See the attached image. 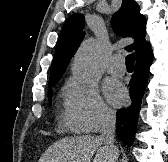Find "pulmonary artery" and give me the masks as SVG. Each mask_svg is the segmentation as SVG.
Wrapping results in <instances>:
<instances>
[{"mask_svg":"<svg viewBox=\"0 0 168 162\" xmlns=\"http://www.w3.org/2000/svg\"><path fill=\"white\" fill-rule=\"evenodd\" d=\"M108 73L114 76H122L125 73L124 61L121 59L120 55L115 54L110 57L106 65Z\"/></svg>","mask_w":168,"mask_h":162,"instance_id":"e3ab8cb5","label":"pulmonary artery"}]
</instances>
